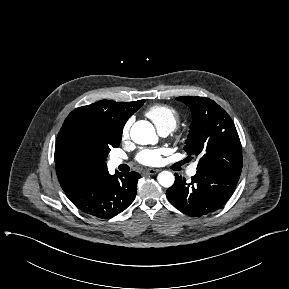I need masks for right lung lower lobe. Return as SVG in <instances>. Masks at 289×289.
I'll use <instances>...</instances> for the list:
<instances>
[{
    "label": "right lung lower lobe",
    "instance_id": "right-lung-lower-lobe-1",
    "mask_svg": "<svg viewBox=\"0 0 289 289\" xmlns=\"http://www.w3.org/2000/svg\"><path fill=\"white\" fill-rule=\"evenodd\" d=\"M140 177L136 172L110 175L106 171L68 198L89 215L112 218L133 202Z\"/></svg>",
    "mask_w": 289,
    "mask_h": 289
}]
</instances>
